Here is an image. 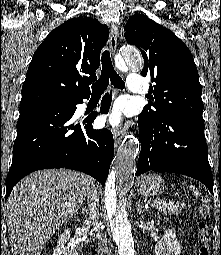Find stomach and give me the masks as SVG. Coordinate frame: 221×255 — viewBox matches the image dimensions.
<instances>
[{
	"mask_svg": "<svg viewBox=\"0 0 221 255\" xmlns=\"http://www.w3.org/2000/svg\"><path fill=\"white\" fill-rule=\"evenodd\" d=\"M137 192L144 196H155L164 191L165 183L157 174H148L136 181Z\"/></svg>",
	"mask_w": 221,
	"mask_h": 255,
	"instance_id": "1",
	"label": "stomach"
}]
</instances>
